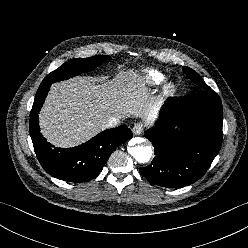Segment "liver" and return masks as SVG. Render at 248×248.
<instances>
[{"mask_svg":"<svg viewBox=\"0 0 248 248\" xmlns=\"http://www.w3.org/2000/svg\"><path fill=\"white\" fill-rule=\"evenodd\" d=\"M146 84L147 79L131 71L100 83L88 77L54 83L40 112L41 132L55 146L72 147L103 130L111 116L153 121L162 101Z\"/></svg>","mask_w":248,"mask_h":248,"instance_id":"1","label":"liver"}]
</instances>
